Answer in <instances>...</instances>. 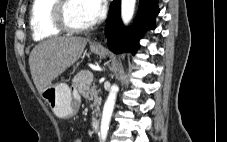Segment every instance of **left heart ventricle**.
<instances>
[{"instance_id": "obj_1", "label": "left heart ventricle", "mask_w": 227, "mask_h": 142, "mask_svg": "<svg viewBox=\"0 0 227 142\" xmlns=\"http://www.w3.org/2000/svg\"><path fill=\"white\" fill-rule=\"evenodd\" d=\"M67 18L76 26H84L93 22L85 10L82 0H70L67 6Z\"/></svg>"}]
</instances>
